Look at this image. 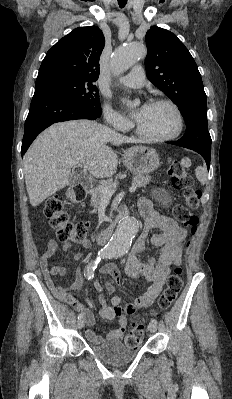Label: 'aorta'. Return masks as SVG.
<instances>
[{"label":"aorta","mask_w":232,"mask_h":399,"mask_svg":"<svg viewBox=\"0 0 232 399\" xmlns=\"http://www.w3.org/2000/svg\"><path fill=\"white\" fill-rule=\"evenodd\" d=\"M146 49L139 43L129 44L117 48L110 61V67L114 75H120L137 61L144 58ZM138 232V221L133 217H125L120 220L117 229L105 246L102 253L110 257L125 255L132 243V238Z\"/></svg>","instance_id":"aorta-1"}]
</instances>
